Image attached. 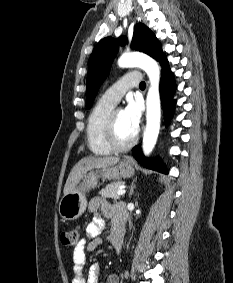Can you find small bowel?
<instances>
[{
	"instance_id": "obj_1",
	"label": "small bowel",
	"mask_w": 233,
	"mask_h": 283,
	"mask_svg": "<svg viewBox=\"0 0 233 283\" xmlns=\"http://www.w3.org/2000/svg\"><path fill=\"white\" fill-rule=\"evenodd\" d=\"M98 210L102 211L105 218L112 219L114 227L118 222L125 223V212L122 208L109 204L101 197L91 199L88 204V211L94 214L93 220L86 226L84 237L75 246L72 254L74 278L72 283H98L100 267L98 264H92L88 270L87 277H84L83 270L86 263V253L95 250L103 243L101 233L104 230L105 222L97 214ZM106 283H119V278L115 274L107 277Z\"/></svg>"
}]
</instances>
